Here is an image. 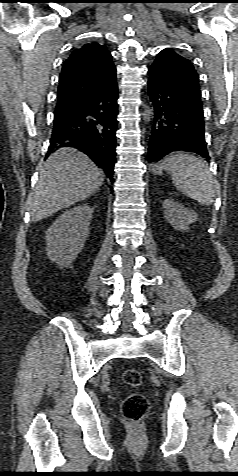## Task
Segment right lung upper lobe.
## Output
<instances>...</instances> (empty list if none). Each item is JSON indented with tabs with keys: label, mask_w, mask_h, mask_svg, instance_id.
Returning <instances> with one entry per match:
<instances>
[{
	"label": "right lung upper lobe",
	"mask_w": 238,
	"mask_h": 476,
	"mask_svg": "<svg viewBox=\"0 0 238 476\" xmlns=\"http://www.w3.org/2000/svg\"><path fill=\"white\" fill-rule=\"evenodd\" d=\"M115 82L116 68L106 47L96 42L84 44L63 63L55 111L79 107Z\"/></svg>",
	"instance_id": "obj_1"
}]
</instances>
